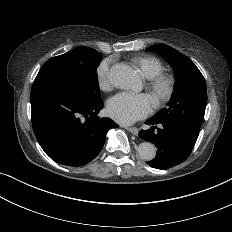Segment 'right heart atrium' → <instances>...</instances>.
I'll return each mask as SVG.
<instances>
[{"label":"right heart atrium","instance_id":"d8ad5b80","mask_svg":"<svg viewBox=\"0 0 232 232\" xmlns=\"http://www.w3.org/2000/svg\"><path fill=\"white\" fill-rule=\"evenodd\" d=\"M107 65H108V62H107V61H104V62H102V64L100 65V67H99V69H98V75H99V78H100L102 81H106V78H105V71H106Z\"/></svg>","mask_w":232,"mask_h":232}]
</instances>
